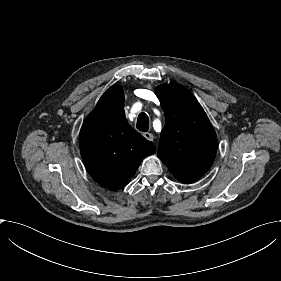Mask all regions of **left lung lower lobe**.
Wrapping results in <instances>:
<instances>
[{
  "label": "left lung lower lobe",
  "mask_w": 281,
  "mask_h": 281,
  "mask_svg": "<svg viewBox=\"0 0 281 281\" xmlns=\"http://www.w3.org/2000/svg\"><path fill=\"white\" fill-rule=\"evenodd\" d=\"M175 178H177L179 181L183 183H191L197 180L201 175L199 176H187V175H178V174H173Z\"/></svg>",
  "instance_id": "obj_1"
}]
</instances>
